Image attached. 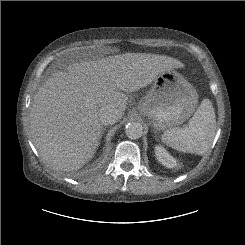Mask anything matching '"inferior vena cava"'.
<instances>
[{
	"label": "inferior vena cava",
	"instance_id": "602c4592",
	"mask_svg": "<svg viewBox=\"0 0 245 245\" xmlns=\"http://www.w3.org/2000/svg\"><path fill=\"white\" fill-rule=\"evenodd\" d=\"M99 118L103 125H112L119 119V114L116 108L107 105L100 109Z\"/></svg>",
	"mask_w": 245,
	"mask_h": 245
}]
</instances>
